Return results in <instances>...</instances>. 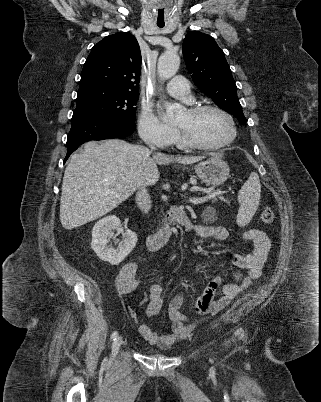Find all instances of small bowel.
<instances>
[{
	"instance_id": "c3829d8e",
	"label": "small bowel",
	"mask_w": 321,
	"mask_h": 402,
	"mask_svg": "<svg viewBox=\"0 0 321 402\" xmlns=\"http://www.w3.org/2000/svg\"><path fill=\"white\" fill-rule=\"evenodd\" d=\"M184 227L194 232L201 238H212L224 241L228 237V230L219 225H200L185 221ZM242 238L252 245L249 254L230 253L228 260L238 270L233 274L235 282L225 283L220 277H214L202 295L196 301L198 304L212 300L210 309L205 313L211 316L217 315L228 307L254 280L262 274L263 265L270 250V241L266 233L259 229H248L242 233ZM137 264L127 263L124 265L117 278L116 286L120 294H129L139 287V280L136 278ZM162 286L152 284L150 286V300L146 308L148 317L156 316L163 307ZM221 292V296L217 294ZM183 294H176L168 306V314L172 321V332L169 334H158L147 324H140L138 331L149 343L162 348H169L176 342L186 338L192 331L193 325L189 323L185 314L180 311L183 304ZM134 316V315H133Z\"/></svg>"
}]
</instances>
